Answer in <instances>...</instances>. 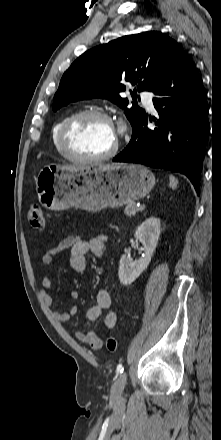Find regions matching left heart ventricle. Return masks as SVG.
<instances>
[{"label":"left heart ventricle","instance_id":"b2bd125f","mask_svg":"<svg viewBox=\"0 0 221 440\" xmlns=\"http://www.w3.org/2000/svg\"><path fill=\"white\" fill-rule=\"evenodd\" d=\"M115 139V130L109 122L99 117H87L74 125L68 142L80 155L98 156L110 150Z\"/></svg>","mask_w":221,"mask_h":440}]
</instances>
